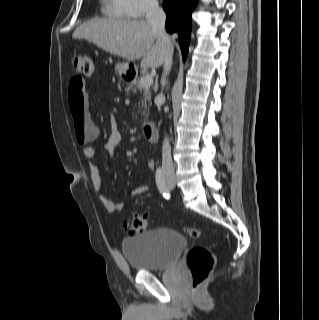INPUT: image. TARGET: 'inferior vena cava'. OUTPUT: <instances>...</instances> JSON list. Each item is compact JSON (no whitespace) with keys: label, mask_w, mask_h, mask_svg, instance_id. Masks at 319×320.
Returning a JSON list of instances; mask_svg holds the SVG:
<instances>
[{"label":"inferior vena cava","mask_w":319,"mask_h":320,"mask_svg":"<svg viewBox=\"0 0 319 320\" xmlns=\"http://www.w3.org/2000/svg\"><path fill=\"white\" fill-rule=\"evenodd\" d=\"M165 19V12L159 7L158 1L151 0L147 7L146 20L157 32L158 38L165 44L170 45V39L165 31ZM172 55V53H169L168 55H166L164 60V73L161 79L162 86L165 85L166 76L169 73L172 65ZM158 99L160 101V104L164 103L165 101V97L162 93L159 94ZM162 171L164 175L174 176L175 174L171 157V147L167 138L164 139L162 148Z\"/></svg>","instance_id":"602c4592"}]
</instances>
